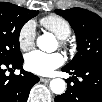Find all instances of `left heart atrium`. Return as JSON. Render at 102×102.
<instances>
[{"instance_id":"1","label":"left heart atrium","mask_w":102,"mask_h":102,"mask_svg":"<svg viewBox=\"0 0 102 102\" xmlns=\"http://www.w3.org/2000/svg\"><path fill=\"white\" fill-rule=\"evenodd\" d=\"M64 58L59 53L47 54L41 51H33L26 58L27 68L38 75H50L56 68L62 66Z\"/></svg>"}]
</instances>
